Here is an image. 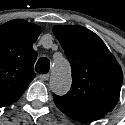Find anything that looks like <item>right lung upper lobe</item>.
Listing matches in <instances>:
<instances>
[{
    "label": "right lung upper lobe",
    "mask_w": 125,
    "mask_h": 125,
    "mask_svg": "<svg viewBox=\"0 0 125 125\" xmlns=\"http://www.w3.org/2000/svg\"><path fill=\"white\" fill-rule=\"evenodd\" d=\"M38 25L15 19L0 26V108L16 102L35 77Z\"/></svg>",
    "instance_id": "right-lung-upper-lobe-1"
}]
</instances>
